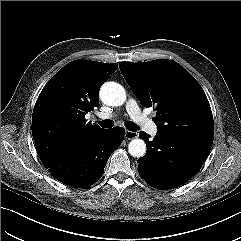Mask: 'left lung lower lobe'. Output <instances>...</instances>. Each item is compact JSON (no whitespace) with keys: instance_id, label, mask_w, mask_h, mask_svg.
<instances>
[{"instance_id":"1","label":"left lung lower lobe","mask_w":241,"mask_h":241,"mask_svg":"<svg viewBox=\"0 0 241 241\" xmlns=\"http://www.w3.org/2000/svg\"><path fill=\"white\" fill-rule=\"evenodd\" d=\"M139 135L145 141L147 151L137 161L138 171L149 185L160 190L186 183L199 171L211 149L159 133L152 141L145 132Z\"/></svg>"}]
</instances>
